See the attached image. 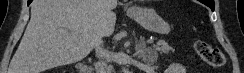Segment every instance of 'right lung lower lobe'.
<instances>
[{"label":"right lung lower lobe","instance_id":"1","mask_svg":"<svg viewBox=\"0 0 244 73\" xmlns=\"http://www.w3.org/2000/svg\"><path fill=\"white\" fill-rule=\"evenodd\" d=\"M33 0H28V5L32 2Z\"/></svg>","mask_w":244,"mask_h":73}]
</instances>
